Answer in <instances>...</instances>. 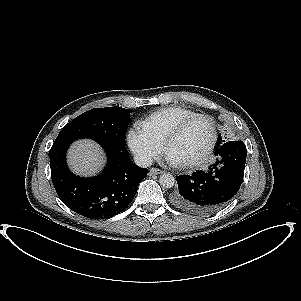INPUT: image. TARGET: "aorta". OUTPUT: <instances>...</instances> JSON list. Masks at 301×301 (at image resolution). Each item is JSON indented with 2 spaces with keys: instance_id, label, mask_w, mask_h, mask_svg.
Segmentation results:
<instances>
[{
  "instance_id": "1",
  "label": "aorta",
  "mask_w": 301,
  "mask_h": 301,
  "mask_svg": "<svg viewBox=\"0 0 301 301\" xmlns=\"http://www.w3.org/2000/svg\"><path fill=\"white\" fill-rule=\"evenodd\" d=\"M159 184L163 188H167V189L171 188L175 184V177L172 174H170V173H163L159 177Z\"/></svg>"
}]
</instances>
